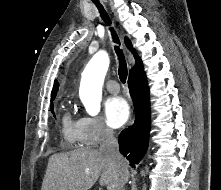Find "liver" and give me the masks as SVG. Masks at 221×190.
Instances as JSON below:
<instances>
[{"mask_svg": "<svg viewBox=\"0 0 221 190\" xmlns=\"http://www.w3.org/2000/svg\"><path fill=\"white\" fill-rule=\"evenodd\" d=\"M124 175L128 180V167ZM99 176L101 186L118 190L121 176L116 165L97 149L82 147L49 158L41 190H89Z\"/></svg>", "mask_w": 221, "mask_h": 190, "instance_id": "liver-1", "label": "liver"}]
</instances>
